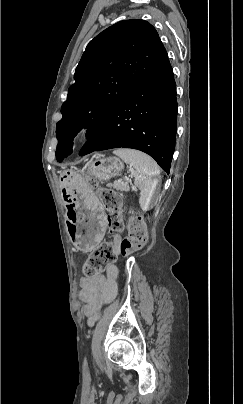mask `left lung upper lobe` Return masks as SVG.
I'll list each match as a JSON object with an SVG mask.
<instances>
[{
  "mask_svg": "<svg viewBox=\"0 0 243 404\" xmlns=\"http://www.w3.org/2000/svg\"><path fill=\"white\" fill-rule=\"evenodd\" d=\"M167 59L157 31L147 21L124 20L97 35L87 45L61 107L57 161L72 153L80 130L86 128L89 138L107 113Z\"/></svg>",
  "mask_w": 243,
  "mask_h": 404,
  "instance_id": "obj_1",
  "label": "left lung upper lobe"
}]
</instances>
